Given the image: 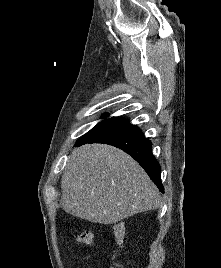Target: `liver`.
<instances>
[{"label": "liver", "instance_id": "1", "mask_svg": "<svg viewBox=\"0 0 221 268\" xmlns=\"http://www.w3.org/2000/svg\"><path fill=\"white\" fill-rule=\"evenodd\" d=\"M61 188L63 209L94 223H117L161 205L159 191L142 167L122 150L105 144L75 150Z\"/></svg>", "mask_w": 221, "mask_h": 268}]
</instances>
